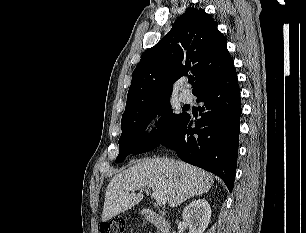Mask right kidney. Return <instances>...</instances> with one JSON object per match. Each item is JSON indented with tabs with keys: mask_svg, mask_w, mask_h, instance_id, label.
I'll use <instances>...</instances> for the list:
<instances>
[{
	"mask_svg": "<svg viewBox=\"0 0 306 233\" xmlns=\"http://www.w3.org/2000/svg\"><path fill=\"white\" fill-rule=\"evenodd\" d=\"M182 217L189 227V233H204L210 222L211 207L205 199L195 200L186 206Z\"/></svg>",
	"mask_w": 306,
	"mask_h": 233,
	"instance_id": "ca27d5eb",
	"label": "right kidney"
}]
</instances>
